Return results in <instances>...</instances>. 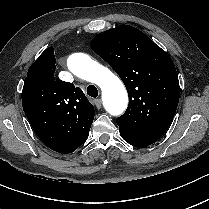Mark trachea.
<instances>
[{
  "mask_svg": "<svg viewBox=\"0 0 209 209\" xmlns=\"http://www.w3.org/2000/svg\"><path fill=\"white\" fill-rule=\"evenodd\" d=\"M87 94L91 97H97L98 96V90L94 85H89L87 87Z\"/></svg>",
  "mask_w": 209,
  "mask_h": 209,
  "instance_id": "3493384b",
  "label": "trachea"
}]
</instances>
